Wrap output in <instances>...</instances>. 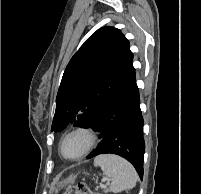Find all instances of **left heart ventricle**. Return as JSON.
<instances>
[{
    "label": "left heart ventricle",
    "mask_w": 201,
    "mask_h": 194,
    "mask_svg": "<svg viewBox=\"0 0 201 194\" xmlns=\"http://www.w3.org/2000/svg\"><path fill=\"white\" fill-rule=\"evenodd\" d=\"M87 146V137L83 134H75L67 138L63 144V153L66 156H76Z\"/></svg>",
    "instance_id": "1"
}]
</instances>
